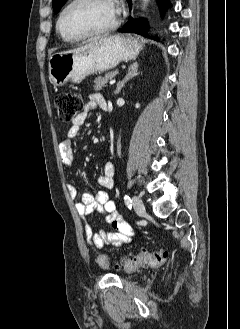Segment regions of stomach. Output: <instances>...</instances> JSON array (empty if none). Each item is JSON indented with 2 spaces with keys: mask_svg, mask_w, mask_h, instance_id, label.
<instances>
[{
  "mask_svg": "<svg viewBox=\"0 0 240 329\" xmlns=\"http://www.w3.org/2000/svg\"><path fill=\"white\" fill-rule=\"evenodd\" d=\"M142 45L130 36L104 37L93 47L78 53H56L49 58V78L55 86L79 83L86 76L108 71L121 61L135 59Z\"/></svg>",
  "mask_w": 240,
  "mask_h": 329,
  "instance_id": "obj_1",
  "label": "stomach"
}]
</instances>
